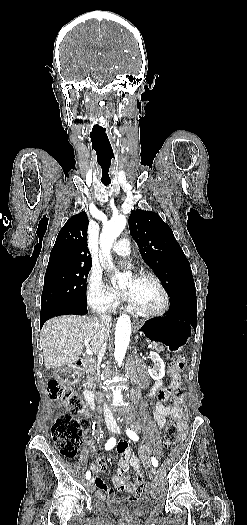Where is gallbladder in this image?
Here are the masks:
<instances>
[{
    "label": "gallbladder",
    "instance_id": "gallbladder-1",
    "mask_svg": "<svg viewBox=\"0 0 247 525\" xmlns=\"http://www.w3.org/2000/svg\"><path fill=\"white\" fill-rule=\"evenodd\" d=\"M58 371L56 369H52L51 367H48L46 371L43 374V377L45 380L50 381L53 379V377H56Z\"/></svg>",
    "mask_w": 247,
    "mask_h": 525
}]
</instances>
